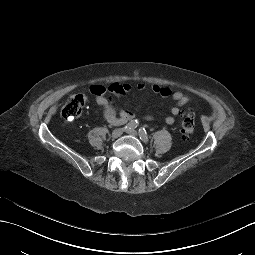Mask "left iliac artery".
<instances>
[{"label": "left iliac artery", "instance_id": "left-iliac-artery-1", "mask_svg": "<svg viewBox=\"0 0 255 255\" xmlns=\"http://www.w3.org/2000/svg\"><path fill=\"white\" fill-rule=\"evenodd\" d=\"M138 132H139L140 139H142L144 142L149 141V138H148L145 128H143V127L139 128Z\"/></svg>", "mask_w": 255, "mask_h": 255}]
</instances>
